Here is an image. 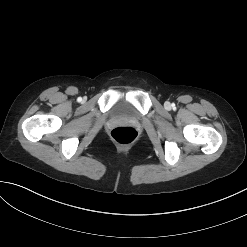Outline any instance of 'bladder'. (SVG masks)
Wrapping results in <instances>:
<instances>
[{
  "instance_id": "1",
  "label": "bladder",
  "mask_w": 247,
  "mask_h": 247,
  "mask_svg": "<svg viewBox=\"0 0 247 247\" xmlns=\"http://www.w3.org/2000/svg\"><path fill=\"white\" fill-rule=\"evenodd\" d=\"M112 110L115 116L123 117L131 114L132 107L127 101L121 99L115 103Z\"/></svg>"
}]
</instances>
